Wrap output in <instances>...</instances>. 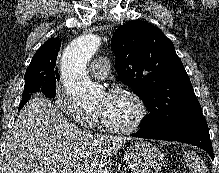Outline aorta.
Listing matches in <instances>:
<instances>
[{
    "label": "aorta",
    "instance_id": "1",
    "mask_svg": "<svg viewBox=\"0 0 219 173\" xmlns=\"http://www.w3.org/2000/svg\"><path fill=\"white\" fill-rule=\"evenodd\" d=\"M100 46V37L82 35L73 40L61 58V74L68 95L78 101H92L100 87L87 76L86 66Z\"/></svg>",
    "mask_w": 219,
    "mask_h": 173
}]
</instances>
